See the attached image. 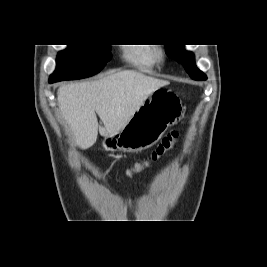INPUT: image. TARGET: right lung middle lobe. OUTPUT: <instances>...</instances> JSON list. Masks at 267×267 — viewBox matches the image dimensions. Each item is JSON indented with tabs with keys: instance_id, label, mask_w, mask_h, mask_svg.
<instances>
[{
	"instance_id": "obj_1",
	"label": "right lung middle lobe",
	"mask_w": 267,
	"mask_h": 267,
	"mask_svg": "<svg viewBox=\"0 0 267 267\" xmlns=\"http://www.w3.org/2000/svg\"><path fill=\"white\" fill-rule=\"evenodd\" d=\"M60 51L49 80H76L97 74L111 58L109 45H68Z\"/></svg>"
}]
</instances>
